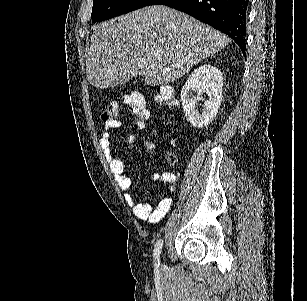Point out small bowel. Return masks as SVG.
Here are the masks:
<instances>
[{
	"instance_id": "c3829d8e",
	"label": "small bowel",
	"mask_w": 307,
	"mask_h": 301,
	"mask_svg": "<svg viewBox=\"0 0 307 301\" xmlns=\"http://www.w3.org/2000/svg\"><path fill=\"white\" fill-rule=\"evenodd\" d=\"M120 127L119 121L105 123L104 130L100 139V146L104 151L109 162L112 174L118 183L121 191L124 192L125 202L132 207L134 215L141 220H146L151 223L159 222L168 213L175 194V184L177 182V175L172 172H154L151 176L153 181H162L166 183L164 194L156 207L149 203H139L135 196L130 192L132 187V180L129 177L124 161L118 158L111 145L110 137L113 131ZM136 141L134 134L128 135L126 142L132 144ZM155 144L152 141L145 142V149L148 154H152Z\"/></svg>"
}]
</instances>
